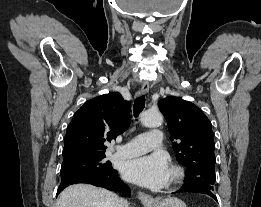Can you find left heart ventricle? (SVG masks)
<instances>
[{
  "label": "left heart ventricle",
  "mask_w": 261,
  "mask_h": 207,
  "mask_svg": "<svg viewBox=\"0 0 261 207\" xmlns=\"http://www.w3.org/2000/svg\"><path fill=\"white\" fill-rule=\"evenodd\" d=\"M169 178H170V174L168 173V178H167V181L169 180Z\"/></svg>",
  "instance_id": "b2bd125f"
}]
</instances>
